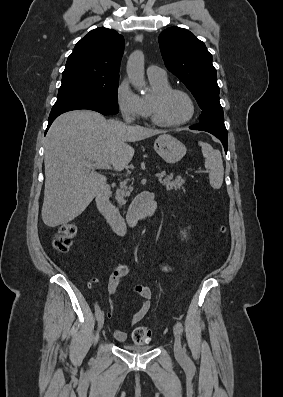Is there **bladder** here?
Segmentation results:
<instances>
[{
    "instance_id": "1",
    "label": "bladder",
    "mask_w": 283,
    "mask_h": 397,
    "mask_svg": "<svg viewBox=\"0 0 283 397\" xmlns=\"http://www.w3.org/2000/svg\"><path fill=\"white\" fill-rule=\"evenodd\" d=\"M124 349L133 353H146L153 349V345L146 346H133V345H125Z\"/></svg>"
}]
</instances>
